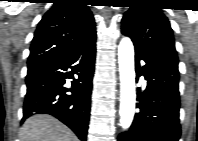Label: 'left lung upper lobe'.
I'll list each match as a JSON object with an SVG mask.
<instances>
[{
  "mask_svg": "<svg viewBox=\"0 0 198 141\" xmlns=\"http://www.w3.org/2000/svg\"><path fill=\"white\" fill-rule=\"evenodd\" d=\"M124 14L122 33L135 49L149 55L170 56L178 62L173 31L167 17L153 0H136Z\"/></svg>",
  "mask_w": 198,
  "mask_h": 141,
  "instance_id": "5c2ea615",
  "label": "left lung upper lobe"
}]
</instances>
